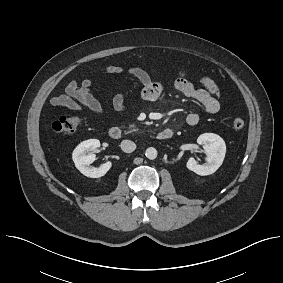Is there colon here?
<instances>
[{
  "instance_id": "colon-1",
  "label": "colon",
  "mask_w": 283,
  "mask_h": 283,
  "mask_svg": "<svg viewBox=\"0 0 283 283\" xmlns=\"http://www.w3.org/2000/svg\"><path fill=\"white\" fill-rule=\"evenodd\" d=\"M83 118L81 115H65L57 119L52 128L55 133L60 135H71L73 134L81 125ZM245 125V122L241 118H236L233 120V127L236 130H241Z\"/></svg>"
}]
</instances>
